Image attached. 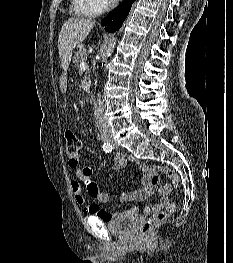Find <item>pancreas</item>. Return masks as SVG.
<instances>
[{
  "mask_svg": "<svg viewBox=\"0 0 233 263\" xmlns=\"http://www.w3.org/2000/svg\"><path fill=\"white\" fill-rule=\"evenodd\" d=\"M86 60V50L83 47H79V49L75 52L74 63L78 66L79 63Z\"/></svg>",
  "mask_w": 233,
  "mask_h": 263,
  "instance_id": "cf45deb5",
  "label": "pancreas"
}]
</instances>
